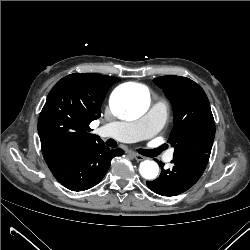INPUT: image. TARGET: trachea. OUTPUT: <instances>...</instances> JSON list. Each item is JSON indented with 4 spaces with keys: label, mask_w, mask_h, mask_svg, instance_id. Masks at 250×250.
<instances>
[{
    "label": "trachea",
    "mask_w": 250,
    "mask_h": 250,
    "mask_svg": "<svg viewBox=\"0 0 250 250\" xmlns=\"http://www.w3.org/2000/svg\"><path fill=\"white\" fill-rule=\"evenodd\" d=\"M106 144L110 147H116L117 146V143L115 140L113 139H108L106 141ZM163 150H165V147H159L157 149H149V150H139V153H141L142 155H145V156H149V157H155L157 156L158 154H160Z\"/></svg>",
    "instance_id": "1"
}]
</instances>
